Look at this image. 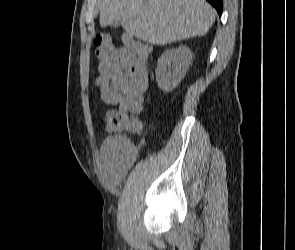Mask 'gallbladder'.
<instances>
[{
    "label": "gallbladder",
    "instance_id": "gallbladder-1",
    "mask_svg": "<svg viewBox=\"0 0 295 250\" xmlns=\"http://www.w3.org/2000/svg\"><path fill=\"white\" fill-rule=\"evenodd\" d=\"M112 26L115 27V28H116V27H119V26H120V22H115V21H114L113 24H112Z\"/></svg>",
    "mask_w": 295,
    "mask_h": 250
}]
</instances>
